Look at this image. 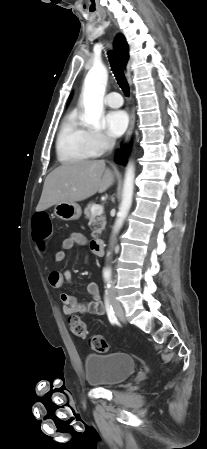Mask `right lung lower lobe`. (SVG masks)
Wrapping results in <instances>:
<instances>
[{
  "label": "right lung lower lobe",
  "mask_w": 207,
  "mask_h": 449,
  "mask_svg": "<svg viewBox=\"0 0 207 449\" xmlns=\"http://www.w3.org/2000/svg\"><path fill=\"white\" fill-rule=\"evenodd\" d=\"M123 159H124V158L122 157L120 151H118V152H117V155H116V160L119 161V160H123Z\"/></svg>",
  "instance_id": "1"
}]
</instances>
